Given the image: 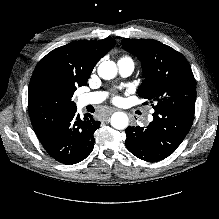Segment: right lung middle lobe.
<instances>
[{"mask_svg":"<svg viewBox=\"0 0 219 219\" xmlns=\"http://www.w3.org/2000/svg\"><path fill=\"white\" fill-rule=\"evenodd\" d=\"M31 114L58 115L76 108L75 103L66 102L57 92L45 84H37Z\"/></svg>","mask_w":219,"mask_h":219,"instance_id":"right-lung-middle-lobe-1","label":"right lung middle lobe"}]
</instances>
